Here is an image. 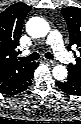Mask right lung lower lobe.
Segmentation results:
<instances>
[{"mask_svg": "<svg viewBox=\"0 0 81 124\" xmlns=\"http://www.w3.org/2000/svg\"><path fill=\"white\" fill-rule=\"evenodd\" d=\"M38 64L33 63L19 78H17L11 84L1 87L0 93L5 95L19 94L26 90L32 82L34 76V70L37 68Z\"/></svg>", "mask_w": 81, "mask_h": 124, "instance_id": "1", "label": "right lung lower lobe"}]
</instances>
